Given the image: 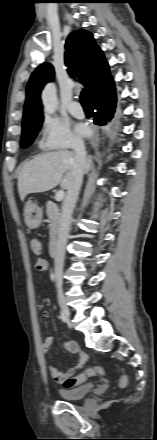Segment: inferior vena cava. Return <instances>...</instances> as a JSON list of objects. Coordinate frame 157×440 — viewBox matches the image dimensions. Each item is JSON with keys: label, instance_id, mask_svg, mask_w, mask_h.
<instances>
[{"label": "inferior vena cava", "instance_id": "obj_1", "mask_svg": "<svg viewBox=\"0 0 157 440\" xmlns=\"http://www.w3.org/2000/svg\"><path fill=\"white\" fill-rule=\"evenodd\" d=\"M72 148L75 152L74 175L68 187L67 195L62 207V215H61L60 227L56 241L55 256H54L55 284L59 291L62 289V275H63V265H64V257H65V247L71 227L72 214L76 202L78 200L80 188L82 185L83 170L86 159V151L83 140L81 139L75 140L72 144Z\"/></svg>", "mask_w": 157, "mask_h": 440}]
</instances>
